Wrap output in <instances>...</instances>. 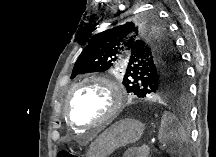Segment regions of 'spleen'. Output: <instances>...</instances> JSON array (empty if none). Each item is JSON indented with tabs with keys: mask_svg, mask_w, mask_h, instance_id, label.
<instances>
[{
	"mask_svg": "<svg viewBox=\"0 0 216 157\" xmlns=\"http://www.w3.org/2000/svg\"><path fill=\"white\" fill-rule=\"evenodd\" d=\"M158 139L170 153L187 155L188 134L176 116L168 111L162 115Z\"/></svg>",
	"mask_w": 216,
	"mask_h": 157,
	"instance_id": "3e777b00",
	"label": "spleen"
}]
</instances>
